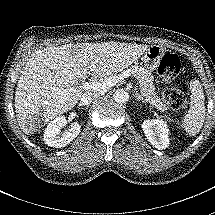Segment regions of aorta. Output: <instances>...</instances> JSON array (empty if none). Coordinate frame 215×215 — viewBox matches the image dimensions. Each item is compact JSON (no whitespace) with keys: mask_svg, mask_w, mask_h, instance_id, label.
I'll list each match as a JSON object with an SVG mask.
<instances>
[{"mask_svg":"<svg viewBox=\"0 0 215 215\" xmlns=\"http://www.w3.org/2000/svg\"><path fill=\"white\" fill-rule=\"evenodd\" d=\"M113 99L117 103H125L129 99V93L124 89H117L113 94Z\"/></svg>","mask_w":215,"mask_h":215,"instance_id":"762f6f07","label":"aorta"}]
</instances>
